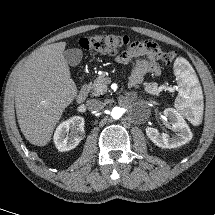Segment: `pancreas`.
Masks as SVG:
<instances>
[{"instance_id": "cf45deb5", "label": "pancreas", "mask_w": 215, "mask_h": 215, "mask_svg": "<svg viewBox=\"0 0 215 215\" xmlns=\"http://www.w3.org/2000/svg\"><path fill=\"white\" fill-rule=\"evenodd\" d=\"M88 89L93 96H99L107 92V84L105 82V76H98L93 82L89 83ZM145 90L151 94H157L159 92L157 84L146 85Z\"/></svg>"}]
</instances>
